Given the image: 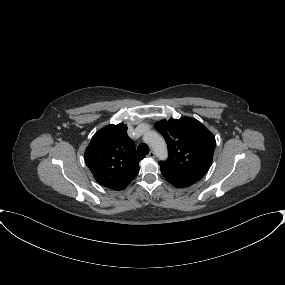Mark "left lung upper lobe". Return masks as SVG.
Instances as JSON below:
<instances>
[{"instance_id":"1","label":"left lung upper lobe","mask_w":285,"mask_h":285,"mask_svg":"<svg viewBox=\"0 0 285 285\" xmlns=\"http://www.w3.org/2000/svg\"><path fill=\"white\" fill-rule=\"evenodd\" d=\"M155 128L164 136L169 157L160 168L182 175H204L211 166L216 141L198 120L183 117L159 121Z\"/></svg>"}]
</instances>
